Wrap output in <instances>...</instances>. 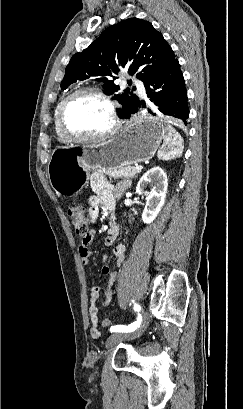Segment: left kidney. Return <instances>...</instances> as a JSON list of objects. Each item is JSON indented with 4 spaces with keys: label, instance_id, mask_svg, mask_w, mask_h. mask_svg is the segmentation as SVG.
Wrapping results in <instances>:
<instances>
[{
    "label": "left kidney",
    "instance_id": "1",
    "mask_svg": "<svg viewBox=\"0 0 243 409\" xmlns=\"http://www.w3.org/2000/svg\"><path fill=\"white\" fill-rule=\"evenodd\" d=\"M148 185L152 188L150 192L146 191ZM167 187V175L160 167L151 168L140 178L136 192L146 196V205L142 213L144 223H152L161 211L165 203Z\"/></svg>",
    "mask_w": 243,
    "mask_h": 409
}]
</instances>
